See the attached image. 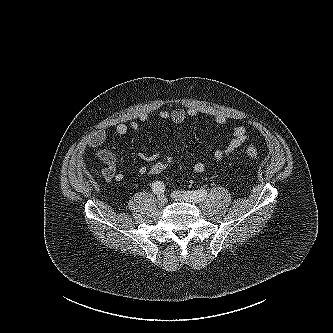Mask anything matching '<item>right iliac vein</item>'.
<instances>
[{
  "instance_id": "63e3f726",
  "label": "right iliac vein",
  "mask_w": 333,
  "mask_h": 333,
  "mask_svg": "<svg viewBox=\"0 0 333 333\" xmlns=\"http://www.w3.org/2000/svg\"><path fill=\"white\" fill-rule=\"evenodd\" d=\"M157 200L159 205H165L167 203V198L163 194H160Z\"/></svg>"
}]
</instances>
